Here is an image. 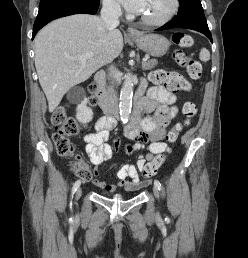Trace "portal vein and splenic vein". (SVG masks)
<instances>
[{"instance_id": "18ae733b", "label": "portal vein and splenic vein", "mask_w": 248, "mask_h": 258, "mask_svg": "<svg viewBox=\"0 0 248 258\" xmlns=\"http://www.w3.org/2000/svg\"><path fill=\"white\" fill-rule=\"evenodd\" d=\"M89 57H91L90 54H85V55H81V56H78V57H75V58H73V57H70V58L77 59L81 62H85ZM147 60H148L147 57L142 59L143 62H147Z\"/></svg>"}]
</instances>
